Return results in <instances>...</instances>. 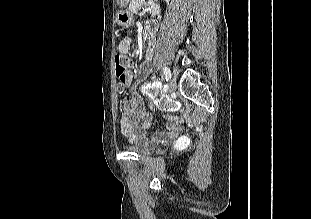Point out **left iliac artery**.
<instances>
[{"label": "left iliac artery", "instance_id": "1", "mask_svg": "<svg viewBox=\"0 0 311 219\" xmlns=\"http://www.w3.org/2000/svg\"><path fill=\"white\" fill-rule=\"evenodd\" d=\"M162 72L165 76V79L168 81L171 78V71L168 67H163Z\"/></svg>", "mask_w": 311, "mask_h": 219}]
</instances>
